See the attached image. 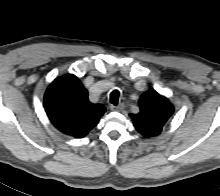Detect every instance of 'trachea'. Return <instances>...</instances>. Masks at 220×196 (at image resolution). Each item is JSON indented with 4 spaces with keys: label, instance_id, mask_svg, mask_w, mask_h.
Masks as SVG:
<instances>
[{
    "label": "trachea",
    "instance_id": "3493384b",
    "mask_svg": "<svg viewBox=\"0 0 220 196\" xmlns=\"http://www.w3.org/2000/svg\"><path fill=\"white\" fill-rule=\"evenodd\" d=\"M119 95L120 94L118 90L112 91L110 94V103L113 105H117L119 101Z\"/></svg>",
    "mask_w": 220,
    "mask_h": 196
}]
</instances>
